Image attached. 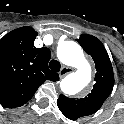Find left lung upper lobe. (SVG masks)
<instances>
[{"instance_id": "5c2ea615", "label": "left lung upper lobe", "mask_w": 124, "mask_h": 124, "mask_svg": "<svg viewBox=\"0 0 124 124\" xmlns=\"http://www.w3.org/2000/svg\"><path fill=\"white\" fill-rule=\"evenodd\" d=\"M77 41L84 51L93 58L97 73L91 93L84 98L75 99L60 95L57 101L58 108L70 120L91 115L99 110L114 86L112 64L101 41L87 34L81 35Z\"/></svg>"}]
</instances>
